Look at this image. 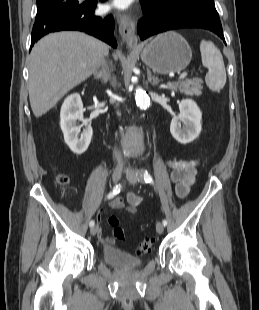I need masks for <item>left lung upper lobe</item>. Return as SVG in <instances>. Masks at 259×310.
<instances>
[{"instance_id":"5c2ea615","label":"left lung upper lobe","mask_w":259,"mask_h":310,"mask_svg":"<svg viewBox=\"0 0 259 310\" xmlns=\"http://www.w3.org/2000/svg\"><path fill=\"white\" fill-rule=\"evenodd\" d=\"M148 2L153 8L160 13H167L175 9L196 5L205 4L214 6V0H142Z\"/></svg>"}]
</instances>
